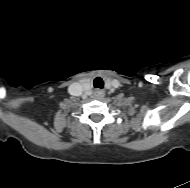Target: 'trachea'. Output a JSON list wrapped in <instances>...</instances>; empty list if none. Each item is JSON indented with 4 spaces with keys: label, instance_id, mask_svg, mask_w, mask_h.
Listing matches in <instances>:
<instances>
[{
    "label": "trachea",
    "instance_id": "trachea-1",
    "mask_svg": "<svg viewBox=\"0 0 190 188\" xmlns=\"http://www.w3.org/2000/svg\"><path fill=\"white\" fill-rule=\"evenodd\" d=\"M94 87L95 88H103V80L100 77L95 78L94 80Z\"/></svg>",
    "mask_w": 190,
    "mask_h": 188
}]
</instances>
